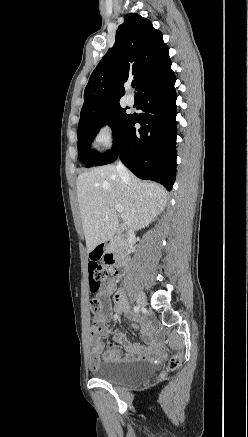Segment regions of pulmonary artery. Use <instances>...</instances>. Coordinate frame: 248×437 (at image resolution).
I'll return each mask as SVG.
<instances>
[{
	"instance_id": "pulmonary-artery-1",
	"label": "pulmonary artery",
	"mask_w": 248,
	"mask_h": 437,
	"mask_svg": "<svg viewBox=\"0 0 248 437\" xmlns=\"http://www.w3.org/2000/svg\"><path fill=\"white\" fill-rule=\"evenodd\" d=\"M126 102L128 105H133L134 104V97L132 95H127L126 97Z\"/></svg>"
}]
</instances>
